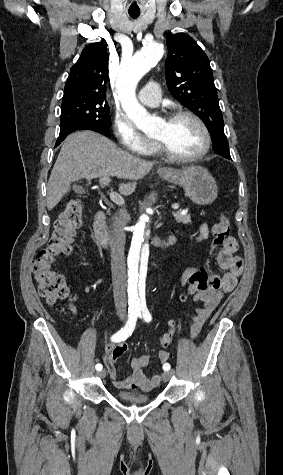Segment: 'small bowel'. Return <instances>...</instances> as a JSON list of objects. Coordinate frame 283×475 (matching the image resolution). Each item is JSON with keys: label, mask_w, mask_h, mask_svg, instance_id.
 <instances>
[{"label": "small bowel", "mask_w": 283, "mask_h": 475, "mask_svg": "<svg viewBox=\"0 0 283 475\" xmlns=\"http://www.w3.org/2000/svg\"><path fill=\"white\" fill-rule=\"evenodd\" d=\"M209 236V229L205 222L200 223L198 232L194 236L196 242H202ZM174 238L170 239L172 243ZM238 244L234 237H229L224 244L222 251L217 253V263L224 271L223 275L213 274L214 280L209 291H205L204 296H193L194 300L199 303L195 311L187 317V324L190 335L196 338L210 315L216 309L218 304L224 297L231 293L238 282L239 277L243 273L244 263L240 256L236 255ZM190 268L186 269L181 275L180 284L186 285V276L190 274ZM127 346L123 343H109L106 346L104 355V363L114 386L118 389L141 388L149 390L156 387L161 380L159 373L151 377L144 374L143 369L150 362V356L143 355L134 357L130 360L132 374L126 378H121L116 368V362L126 352ZM167 362H159L163 366Z\"/></svg>", "instance_id": "obj_1"}]
</instances>
